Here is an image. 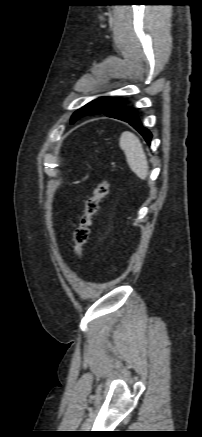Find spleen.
Here are the masks:
<instances>
[{
    "label": "spleen",
    "mask_w": 202,
    "mask_h": 437,
    "mask_svg": "<svg viewBox=\"0 0 202 437\" xmlns=\"http://www.w3.org/2000/svg\"><path fill=\"white\" fill-rule=\"evenodd\" d=\"M119 146L124 151L130 169L140 179L145 180L149 174V165L139 138L132 132L125 131L121 134Z\"/></svg>",
    "instance_id": "3e777b00"
}]
</instances>
